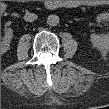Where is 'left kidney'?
<instances>
[{
  "mask_svg": "<svg viewBox=\"0 0 109 109\" xmlns=\"http://www.w3.org/2000/svg\"><path fill=\"white\" fill-rule=\"evenodd\" d=\"M98 22H108L109 21V14L108 13H102L97 16ZM90 41L93 44L94 47L100 50H106L109 47V34H91Z\"/></svg>",
  "mask_w": 109,
  "mask_h": 109,
  "instance_id": "1",
  "label": "left kidney"
}]
</instances>
